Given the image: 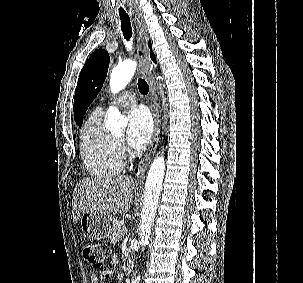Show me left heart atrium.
<instances>
[{
	"instance_id": "obj_1",
	"label": "left heart atrium",
	"mask_w": 303,
	"mask_h": 283,
	"mask_svg": "<svg viewBox=\"0 0 303 283\" xmlns=\"http://www.w3.org/2000/svg\"><path fill=\"white\" fill-rule=\"evenodd\" d=\"M127 119V143L132 149H142L152 135L153 124L151 116L145 107L137 106L128 112Z\"/></svg>"
}]
</instances>
